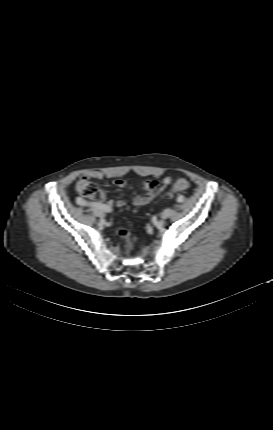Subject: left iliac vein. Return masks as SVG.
I'll return each instance as SVG.
<instances>
[{"instance_id": "4c4485c4", "label": "left iliac vein", "mask_w": 273, "mask_h": 430, "mask_svg": "<svg viewBox=\"0 0 273 430\" xmlns=\"http://www.w3.org/2000/svg\"><path fill=\"white\" fill-rule=\"evenodd\" d=\"M171 215V209H165L162 213H161V218L162 219H167L169 218Z\"/></svg>"}]
</instances>
